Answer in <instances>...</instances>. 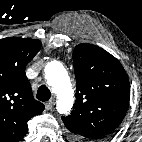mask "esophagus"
<instances>
[{"label": "esophagus", "instance_id": "esophagus-1", "mask_svg": "<svg viewBox=\"0 0 142 142\" xmlns=\"http://www.w3.org/2000/svg\"><path fill=\"white\" fill-rule=\"evenodd\" d=\"M53 105H54V101H52V100L46 102V103H45V108H46V110L52 109Z\"/></svg>", "mask_w": 142, "mask_h": 142}]
</instances>
